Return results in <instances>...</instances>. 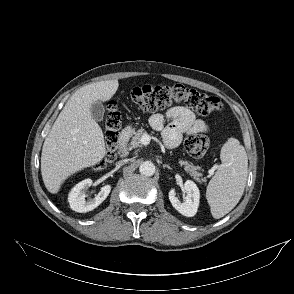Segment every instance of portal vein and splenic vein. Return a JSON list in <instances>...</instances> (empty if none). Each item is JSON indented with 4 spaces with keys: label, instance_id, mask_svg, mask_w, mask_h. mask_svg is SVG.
I'll list each match as a JSON object with an SVG mask.
<instances>
[{
    "label": "portal vein and splenic vein",
    "instance_id": "obj_1",
    "mask_svg": "<svg viewBox=\"0 0 294 294\" xmlns=\"http://www.w3.org/2000/svg\"><path fill=\"white\" fill-rule=\"evenodd\" d=\"M150 140H151V137L148 135V134H144L142 137H141V143L143 145H148L150 143Z\"/></svg>",
    "mask_w": 294,
    "mask_h": 294
}]
</instances>
